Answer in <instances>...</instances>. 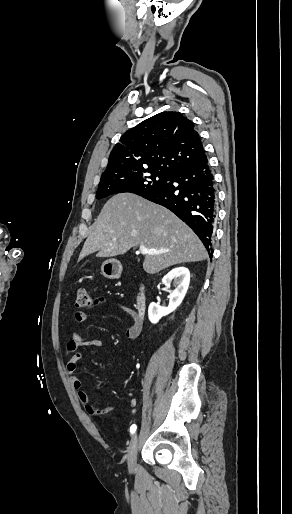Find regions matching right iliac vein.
Wrapping results in <instances>:
<instances>
[{"label":"right iliac vein","instance_id":"right-iliac-vein-1","mask_svg":"<svg viewBox=\"0 0 292 514\" xmlns=\"http://www.w3.org/2000/svg\"><path fill=\"white\" fill-rule=\"evenodd\" d=\"M139 446V436L135 433L127 451V465L129 472H133L136 467L137 451Z\"/></svg>","mask_w":292,"mask_h":514}]
</instances>
